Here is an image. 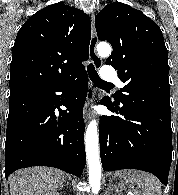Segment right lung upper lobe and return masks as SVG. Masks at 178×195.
I'll use <instances>...</instances> for the list:
<instances>
[{"mask_svg": "<svg viewBox=\"0 0 178 195\" xmlns=\"http://www.w3.org/2000/svg\"><path fill=\"white\" fill-rule=\"evenodd\" d=\"M91 37L90 18L64 3L32 15L19 30L10 65V93L57 85L84 70Z\"/></svg>", "mask_w": 178, "mask_h": 195, "instance_id": "1", "label": "right lung upper lobe"}]
</instances>
